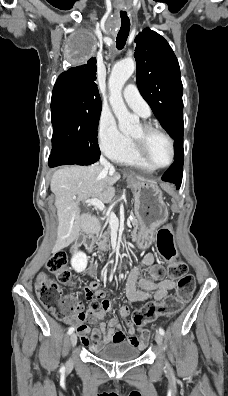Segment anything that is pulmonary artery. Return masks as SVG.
<instances>
[{
	"instance_id": "e3ab8cb5",
	"label": "pulmonary artery",
	"mask_w": 228,
	"mask_h": 396,
	"mask_svg": "<svg viewBox=\"0 0 228 396\" xmlns=\"http://www.w3.org/2000/svg\"><path fill=\"white\" fill-rule=\"evenodd\" d=\"M123 98L126 103L134 111L143 117H149L151 115V109L148 103L140 94L135 84H128L123 90Z\"/></svg>"
}]
</instances>
